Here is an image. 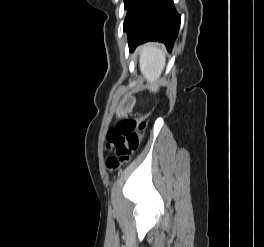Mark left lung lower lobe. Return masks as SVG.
<instances>
[{"label": "left lung lower lobe", "mask_w": 264, "mask_h": 247, "mask_svg": "<svg viewBox=\"0 0 264 247\" xmlns=\"http://www.w3.org/2000/svg\"><path fill=\"white\" fill-rule=\"evenodd\" d=\"M180 20L173 0H146L124 28L128 33L130 51L147 41L163 42L171 50L178 35Z\"/></svg>", "instance_id": "0a47b994"}]
</instances>
